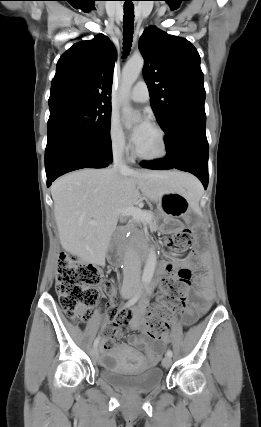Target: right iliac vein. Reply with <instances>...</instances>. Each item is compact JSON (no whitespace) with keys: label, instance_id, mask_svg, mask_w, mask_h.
Wrapping results in <instances>:
<instances>
[{"label":"right iliac vein","instance_id":"obj_1","mask_svg":"<svg viewBox=\"0 0 261 427\" xmlns=\"http://www.w3.org/2000/svg\"><path fill=\"white\" fill-rule=\"evenodd\" d=\"M133 294H134L133 291L127 290V291L123 292V297L124 298H130ZM90 355H91V358L93 361H97L98 357H99L98 349L96 347L92 348Z\"/></svg>","mask_w":261,"mask_h":427}]
</instances>
